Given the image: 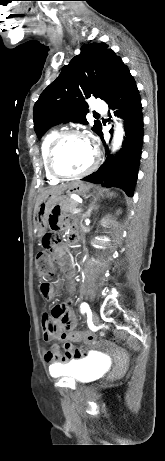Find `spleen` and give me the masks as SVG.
<instances>
[{
	"label": "spleen",
	"mask_w": 165,
	"mask_h": 461,
	"mask_svg": "<svg viewBox=\"0 0 165 461\" xmlns=\"http://www.w3.org/2000/svg\"><path fill=\"white\" fill-rule=\"evenodd\" d=\"M112 195H113V193H110V196H112Z\"/></svg>",
	"instance_id": "1"
}]
</instances>
